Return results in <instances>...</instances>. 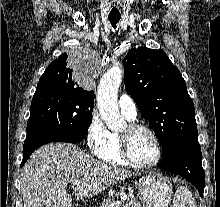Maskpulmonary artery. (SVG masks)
<instances>
[{"label": "pulmonary artery", "instance_id": "1", "mask_svg": "<svg viewBox=\"0 0 220 207\" xmlns=\"http://www.w3.org/2000/svg\"><path fill=\"white\" fill-rule=\"evenodd\" d=\"M118 106L122 114L128 119H134L137 115V108L134 100L127 94L120 95Z\"/></svg>", "mask_w": 220, "mask_h": 207}]
</instances>
